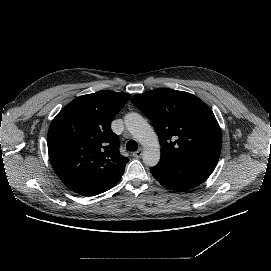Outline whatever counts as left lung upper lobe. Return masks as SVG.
I'll use <instances>...</instances> for the list:
<instances>
[{
	"label": "left lung upper lobe",
	"mask_w": 271,
	"mask_h": 271,
	"mask_svg": "<svg viewBox=\"0 0 271 271\" xmlns=\"http://www.w3.org/2000/svg\"><path fill=\"white\" fill-rule=\"evenodd\" d=\"M131 102L151 121L161 153L218 162L221 130L212 110L198 97L160 88L137 94Z\"/></svg>",
	"instance_id": "5c2ea615"
}]
</instances>
